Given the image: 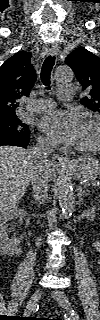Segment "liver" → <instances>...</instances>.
Segmentation results:
<instances>
[{
  "mask_svg": "<svg viewBox=\"0 0 100 320\" xmlns=\"http://www.w3.org/2000/svg\"><path fill=\"white\" fill-rule=\"evenodd\" d=\"M35 159L30 150L0 147V207L1 210L16 207L22 199L34 172ZM51 179V165L48 166Z\"/></svg>",
  "mask_w": 100,
  "mask_h": 320,
  "instance_id": "1",
  "label": "liver"
}]
</instances>
